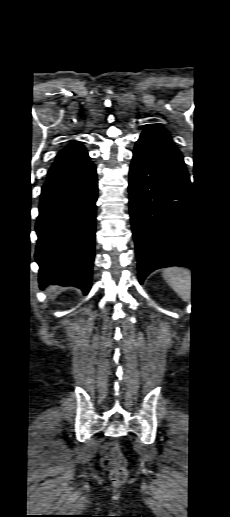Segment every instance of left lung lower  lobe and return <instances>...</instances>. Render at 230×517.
Masks as SVG:
<instances>
[{"label":"left lung lower lobe","mask_w":230,"mask_h":517,"mask_svg":"<svg viewBox=\"0 0 230 517\" xmlns=\"http://www.w3.org/2000/svg\"><path fill=\"white\" fill-rule=\"evenodd\" d=\"M129 206L139 282L168 266L194 270L189 250L190 178L179 150L139 139L129 172Z\"/></svg>","instance_id":"left-lung-lower-lobe-1"}]
</instances>
